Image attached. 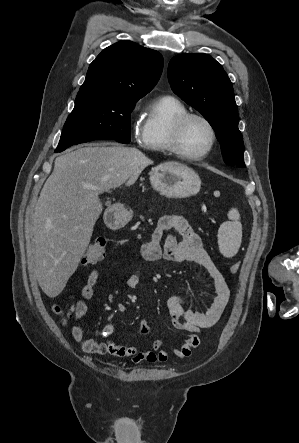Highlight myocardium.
Returning <instances> with one entry per match:
<instances>
[{"label": "myocardium", "instance_id": "obj_1", "mask_svg": "<svg viewBox=\"0 0 299 443\" xmlns=\"http://www.w3.org/2000/svg\"><path fill=\"white\" fill-rule=\"evenodd\" d=\"M192 118H197L203 121L209 129L210 132V144L208 148L201 154L192 155L185 152L181 146V136L184 130V127L188 120ZM217 136L216 131L211 123V121L205 117L204 115L196 112H185L179 116H177L172 124L171 133H170V147L173 153L178 155L181 158L187 160H201L207 157L213 150L216 144Z\"/></svg>", "mask_w": 299, "mask_h": 443}]
</instances>
